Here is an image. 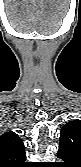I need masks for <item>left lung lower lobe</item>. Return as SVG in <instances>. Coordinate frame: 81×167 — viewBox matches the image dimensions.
I'll return each instance as SVG.
<instances>
[{
  "label": "left lung lower lobe",
  "mask_w": 81,
  "mask_h": 167,
  "mask_svg": "<svg viewBox=\"0 0 81 167\" xmlns=\"http://www.w3.org/2000/svg\"><path fill=\"white\" fill-rule=\"evenodd\" d=\"M58 158L64 160L65 162H60L58 163V167H74L70 164H68V162L65 160V158L63 157V155H61L60 153H58Z\"/></svg>",
  "instance_id": "1"
}]
</instances>
